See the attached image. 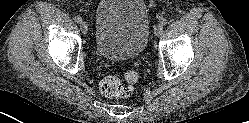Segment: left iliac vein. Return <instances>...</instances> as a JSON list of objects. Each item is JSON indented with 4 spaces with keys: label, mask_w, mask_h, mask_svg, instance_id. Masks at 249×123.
I'll use <instances>...</instances> for the list:
<instances>
[{
    "label": "left iliac vein",
    "mask_w": 249,
    "mask_h": 123,
    "mask_svg": "<svg viewBox=\"0 0 249 123\" xmlns=\"http://www.w3.org/2000/svg\"><path fill=\"white\" fill-rule=\"evenodd\" d=\"M163 33V25L162 24H157L154 28V34L155 36L159 37Z\"/></svg>",
    "instance_id": "4c4485c4"
}]
</instances>
